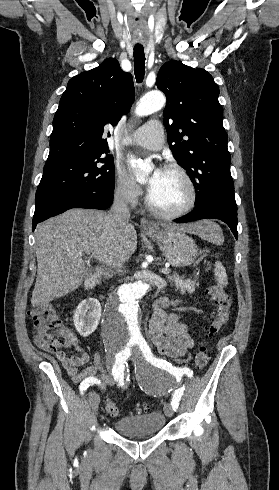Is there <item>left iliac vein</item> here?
Wrapping results in <instances>:
<instances>
[{
	"mask_svg": "<svg viewBox=\"0 0 279 490\" xmlns=\"http://www.w3.org/2000/svg\"><path fill=\"white\" fill-rule=\"evenodd\" d=\"M165 413H166V415H167L168 417H172V416H173L174 411L172 410L171 405L167 404V405L165 406Z\"/></svg>",
	"mask_w": 279,
	"mask_h": 490,
	"instance_id": "4c4485c4",
	"label": "left iliac vein"
}]
</instances>
